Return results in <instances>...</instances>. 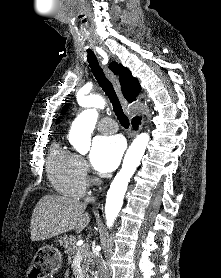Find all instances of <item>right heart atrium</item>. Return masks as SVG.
<instances>
[{"label": "right heart atrium", "mask_w": 221, "mask_h": 278, "mask_svg": "<svg viewBox=\"0 0 221 278\" xmlns=\"http://www.w3.org/2000/svg\"><path fill=\"white\" fill-rule=\"evenodd\" d=\"M78 165H79V168L82 171V173L84 175H86V173L88 172V167H87L84 159L80 156H78Z\"/></svg>", "instance_id": "obj_1"}]
</instances>
